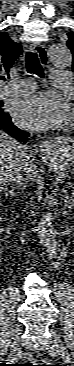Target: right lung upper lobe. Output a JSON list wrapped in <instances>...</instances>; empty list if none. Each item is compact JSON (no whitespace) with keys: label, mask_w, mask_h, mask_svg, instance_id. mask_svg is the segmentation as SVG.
<instances>
[{"label":"right lung upper lobe","mask_w":74,"mask_h":366,"mask_svg":"<svg viewBox=\"0 0 74 366\" xmlns=\"http://www.w3.org/2000/svg\"><path fill=\"white\" fill-rule=\"evenodd\" d=\"M22 54V47L6 33L0 32V82L5 80L14 61Z\"/></svg>","instance_id":"right-lung-upper-lobe-1"}]
</instances>
